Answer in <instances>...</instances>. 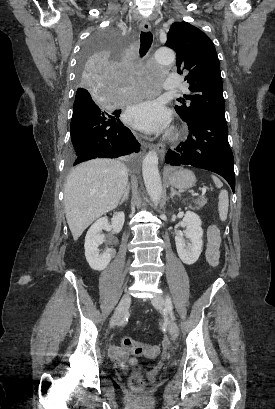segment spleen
Returning <instances> with one entry per match:
<instances>
[{
    "mask_svg": "<svg viewBox=\"0 0 275 409\" xmlns=\"http://www.w3.org/2000/svg\"><path fill=\"white\" fill-rule=\"evenodd\" d=\"M212 178L217 186V188H221L223 186V182L212 174ZM228 207H229V198L227 190H220L218 194V211L220 221H226L228 215Z\"/></svg>",
    "mask_w": 275,
    "mask_h": 409,
    "instance_id": "3e777b00",
    "label": "spleen"
}]
</instances>
